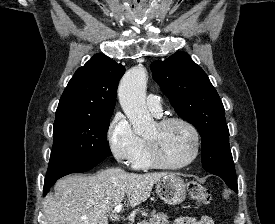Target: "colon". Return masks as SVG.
Listing matches in <instances>:
<instances>
[{"instance_id":"obj_1","label":"colon","mask_w":275,"mask_h":224,"mask_svg":"<svg viewBox=\"0 0 275 224\" xmlns=\"http://www.w3.org/2000/svg\"><path fill=\"white\" fill-rule=\"evenodd\" d=\"M188 192L192 203L196 206L205 205L211 199L209 190L195 181L188 184Z\"/></svg>"}]
</instances>
